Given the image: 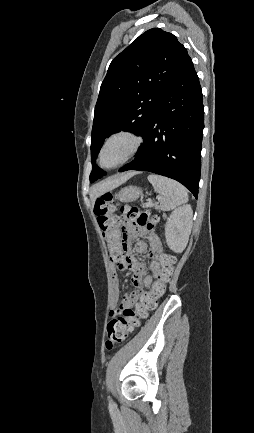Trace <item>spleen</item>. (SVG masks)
I'll use <instances>...</instances> for the list:
<instances>
[{
	"label": "spleen",
	"instance_id": "1",
	"mask_svg": "<svg viewBox=\"0 0 254 433\" xmlns=\"http://www.w3.org/2000/svg\"><path fill=\"white\" fill-rule=\"evenodd\" d=\"M148 181L159 194L160 207L163 211L175 209L188 201L185 187L177 181L155 174L149 175Z\"/></svg>",
	"mask_w": 254,
	"mask_h": 433
}]
</instances>
